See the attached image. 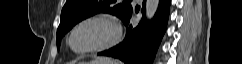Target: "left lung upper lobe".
<instances>
[{"label": "left lung upper lobe", "instance_id": "obj_1", "mask_svg": "<svg viewBox=\"0 0 242 64\" xmlns=\"http://www.w3.org/2000/svg\"><path fill=\"white\" fill-rule=\"evenodd\" d=\"M131 0H67L57 29V46L61 38L78 22L97 13H109L125 19L132 11Z\"/></svg>", "mask_w": 242, "mask_h": 64}]
</instances>
